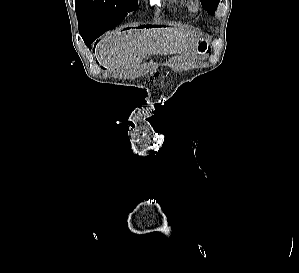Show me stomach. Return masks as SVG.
Masks as SVG:
<instances>
[{"label":"stomach","mask_w":299,"mask_h":273,"mask_svg":"<svg viewBox=\"0 0 299 273\" xmlns=\"http://www.w3.org/2000/svg\"><path fill=\"white\" fill-rule=\"evenodd\" d=\"M194 46L195 52L199 56H207L210 52L209 40L204 36L197 37Z\"/></svg>","instance_id":"0dacf381"}]
</instances>
